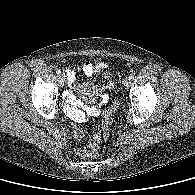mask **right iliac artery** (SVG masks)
I'll return each instance as SVG.
<instances>
[{
  "mask_svg": "<svg viewBox=\"0 0 195 195\" xmlns=\"http://www.w3.org/2000/svg\"><path fill=\"white\" fill-rule=\"evenodd\" d=\"M56 74H57V75H60V74H61V71H60V70H57V71H56Z\"/></svg>",
  "mask_w": 195,
  "mask_h": 195,
  "instance_id": "right-iliac-artery-1",
  "label": "right iliac artery"
}]
</instances>
